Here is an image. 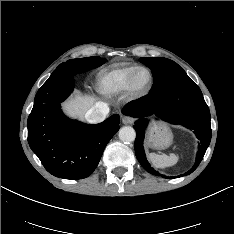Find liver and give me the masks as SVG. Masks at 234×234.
<instances>
[{
    "mask_svg": "<svg viewBox=\"0 0 234 234\" xmlns=\"http://www.w3.org/2000/svg\"><path fill=\"white\" fill-rule=\"evenodd\" d=\"M94 106V98L77 94L67 102L63 103L64 111L72 117L83 116L90 108Z\"/></svg>",
    "mask_w": 234,
    "mask_h": 234,
    "instance_id": "1",
    "label": "liver"
}]
</instances>
